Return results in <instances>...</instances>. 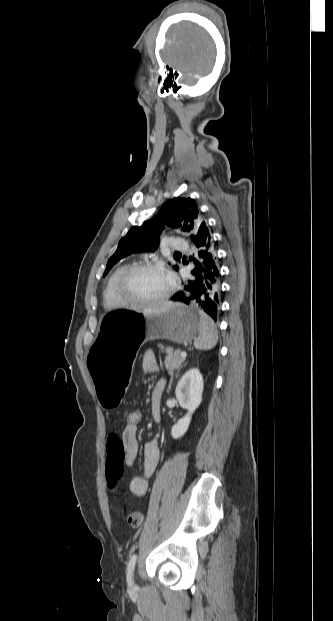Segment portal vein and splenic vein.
<instances>
[{
    "mask_svg": "<svg viewBox=\"0 0 333 621\" xmlns=\"http://www.w3.org/2000/svg\"><path fill=\"white\" fill-rule=\"evenodd\" d=\"M186 356H187L186 352H182V353L180 354V357H181V358H186Z\"/></svg>",
    "mask_w": 333,
    "mask_h": 621,
    "instance_id": "1",
    "label": "portal vein and splenic vein"
}]
</instances>
